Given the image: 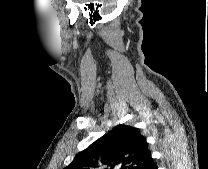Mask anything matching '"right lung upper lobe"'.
<instances>
[{
  "label": "right lung upper lobe",
  "instance_id": "cb5924a9",
  "mask_svg": "<svg viewBox=\"0 0 208 169\" xmlns=\"http://www.w3.org/2000/svg\"><path fill=\"white\" fill-rule=\"evenodd\" d=\"M151 159L145 137L122 124L78 153L64 169H143Z\"/></svg>",
  "mask_w": 208,
  "mask_h": 169
}]
</instances>
